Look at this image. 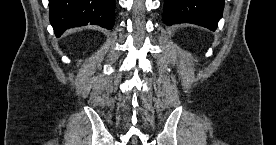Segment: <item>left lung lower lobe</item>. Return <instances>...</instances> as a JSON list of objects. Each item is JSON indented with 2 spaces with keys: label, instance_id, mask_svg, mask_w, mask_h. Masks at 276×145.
Masks as SVG:
<instances>
[{
  "label": "left lung lower lobe",
  "instance_id": "left-lung-lower-lobe-1",
  "mask_svg": "<svg viewBox=\"0 0 276 145\" xmlns=\"http://www.w3.org/2000/svg\"><path fill=\"white\" fill-rule=\"evenodd\" d=\"M224 0H164L166 25L193 23L214 31L222 17Z\"/></svg>",
  "mask_w": 276,
  "mask_h": 145
}]
</instances>
